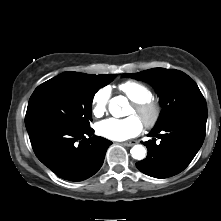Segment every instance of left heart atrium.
I'll use <instances>...</instances> for the list:
<instances>
[{
	"mask_svg": "<svg viewBox=\"0 0 221 221\" xmlns=\"http://www.w3.org/2000/svg\"><path fill=\"white\" fill-rule=\"evenodd\" d=\"M96 130L99 135L114 141H124L137 136L142 130L141 120L135 116L125 119L108 118L100 121Z\"/></svg>",
	"mask_w": 221,
	"mask_h": 221,
	"instance_id": "left-heart-atrium-1",
	"label": "left heart atrium"
}]
</instances>
